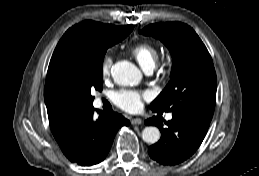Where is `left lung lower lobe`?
<instances>
[{"label": "left lung lower lobe", "instance_id": "0a47b994", "mask_svg": "<svg viewBox=\"0 0 259 176\" xmlns=\"http://www.w3.org/2000/svg\"><path fill=\"white\" fill-rule=\"evenodd\" d=\"M172 120L163 122L154 116L145 121L147 125H156L161 131L160 140L149 147L152 159L163 165L179 164L190 156L201 145L211 119L190 112L173 113Z\"/></svg>", "mask_w": 259, "mask_h": 176}]
</instances>
